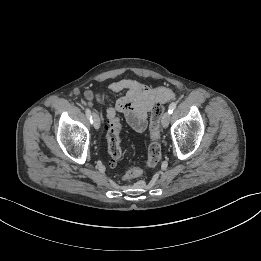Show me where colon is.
Wrapping results in <instances>:
<instances>
[{"label": "colon", "instance_id": "1", "mask_svg": "<svg viewBox=\"0 0 261 261\" xmlns=\"http://www.w3.org/2000/svg\"><path fill=\"white\" fill-rule=\"evenodd\" d=\"M164 110V106L160 103H156L153 106L150 122L149 133L150 143L147 153V167H154L161 159V145H160V119ZM120 131L121 122L119 118L115 117L108 121L106 127V138L108 142V155L109 164L115 166L121 157L122 150L120 146ZM142 174V169L134 167L126 172L124 175L125 180H131L139 177Z\"/></svg>", "mask_w": 261, "mask_h": 261}]
</instances>
